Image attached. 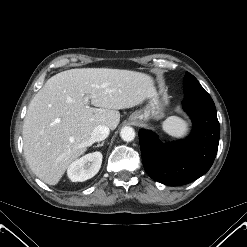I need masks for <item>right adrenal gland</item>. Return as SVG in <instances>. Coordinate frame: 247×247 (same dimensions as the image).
<instances>
[{
  "label": "right adrenal gland",
  "instance_id": "2a0ac1e0",
  "mask_svg": "<svg viewBox=\"0 0 247 247\" xmlns=\"http://www.w3.org/2000/svg\"><path fill=\"white\" fill-rule=\"evenodd\" d=\"M104 145V141L103 142H101V143H99V144H97L96 146H94V147H102Z\"/></svg>",
  "mask_w": 247,
  "mask_h": 247
}]
</instances>
